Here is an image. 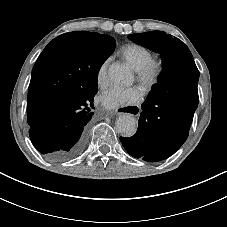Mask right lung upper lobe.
I'll use <instances>...</instances> for the list:
<instances>
[{
  "instance_id": "obj_1",
  "label": "right lung upper lobe",
  "mask_w": 227,
  "mask_h": 227,
  "mask_svg": "<svg viewBox=\"0 0 227 227\" xmlns=\"http://www.w3.org/2000/svg\"><path fill=\"white\" fill-rule=\"evenodd\" d=\"M106 34L76 31L53 39L40 54L28 88L27 117L30 127L41 126L53 105L62 97L81 94L84 74L78 64L67 59L64 45L70 40L94 42Z\"/></svg>"
}]
</instances>
